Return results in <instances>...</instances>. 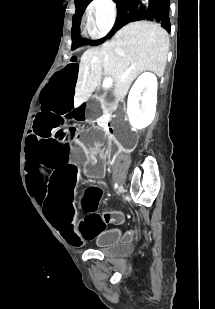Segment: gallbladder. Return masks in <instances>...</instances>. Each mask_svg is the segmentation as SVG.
Returning a JSON list of instances; mask_svg holds the SVG:
<instances>
[{"label": "gallbladder", "mask_w": 215, "mask_h": 309, "mask_svg": "<svg viewBox=\"0 0 215 309\" xmlns=\"http://www.w3.org/2000/svg\"><path fill=\"white\" fill-rule=\"evenodd\" d=\"M115 98L114 94H105L104 96V106L105 108H109V106H112L114 104Z\"/></svg>", "instance_id": "obj_1"}]
</instances>
